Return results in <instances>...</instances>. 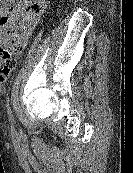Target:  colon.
Masks as SVG:
<instances>
[{
  "instance_id": "obj_1",
  "label": "colon",
  "mask_w": 133,
  "mask_h": 173,
  "mask_svg": "<svg viewBox=\"0 0 133 173\" xmlns=\"http://www.w3.org/2000/svg\"><path fill=\"white\" fill-rule=\"evenodd\" d=\"M17 65L16 50L14 47L0 45V81L3 82Z\"/></svg>"
}]
</instances>
